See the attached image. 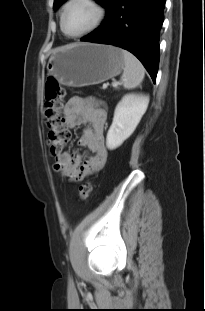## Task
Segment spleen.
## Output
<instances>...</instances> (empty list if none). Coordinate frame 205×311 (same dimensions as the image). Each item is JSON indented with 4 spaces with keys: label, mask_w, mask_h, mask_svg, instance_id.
<instances>
[{
    "label": "spleen",
    "mask_w": 205,
    "mask_h": 311,
    "mask_svg": "<svg viewBox=\"0 0 205 311\" xmlns=\"http://www.w3.org/2000/svg\"><path fill=\"white\" fill-rule=\"evenodd\" d=\"M122 54L124 58V71L121 79L124 88L132 89L141 84L145 70L141 62L132 53L122 50Z\"/></svg>",
    "instance_id": "3e777b00"
}]
</instances>
